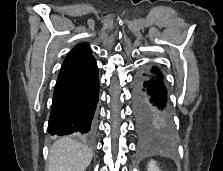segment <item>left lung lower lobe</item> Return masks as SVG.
Instances as JSON below:
<instances>
[{
	"label": "left lung lower lobe",
	"instance_id": "obj_1",
	"mask_svg": "<svg viewBox=\"0 0 223 171\" xmlns=\"http://www.w3.org/2000/svg\"><path fill=\"white\" fill-rule=\"evenodd\" d=\"M136 133L144 145L168 142L174 136L167 89L158 67L139 72L133 87Z\"/></svg>",
	"mask_w": 223,
	"mask_h": 171
}]
</instances>
